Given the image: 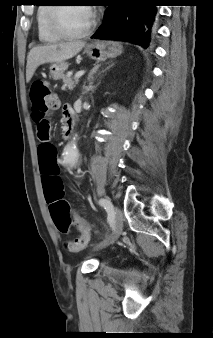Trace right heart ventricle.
<instances>
[{"label":"right heart ventricle","mask_w":213,"mask_h":338,"mask_svg":"<svg viewBox=\"0 0 213 338\" xmlns=\"http://www.w3.org/2000/svg\"><path fill=\"white\" fill-rule=\"evenodd\" d=\"M51 6L48 3H40L36 12V25L38 38L41 42L54 43L59 40L48 29V17Z\"/></svg>","instance_id":"obj_1"}]
</instances>
